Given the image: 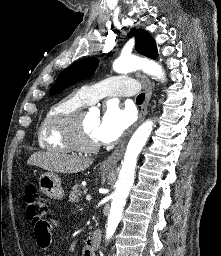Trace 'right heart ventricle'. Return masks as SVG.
Segmentation results:
<instances>
[{
	"label": "right heart ventricle",
	"instance_id": "e07e8e85",
	"mask_svg": "<svg viewBox=\"0 0 221 256\" xmlns=\"http://www.w3.org/2000/svg\"><path fill=\"white\" fill-rule=\"evenodd\" d=\"M88 104L80 91L71 92L52 104L38 128L39 146L52 152L73 151L65 135V128L75 113Z\"/></svg>",
	"mask_w": 221,
	"mask_h": 256
}]
</instances>
